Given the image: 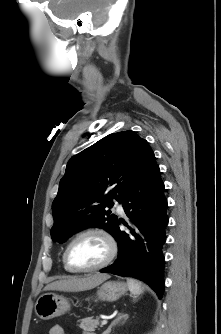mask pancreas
<instances>
[{"label":"pancreas","mask_w":221,"mask_h":334,"mask_svg":"<svg viewBox=\"0 0 221 334\" xmlns=\"http://www.w3.org/2000/svg\"><path fill=\"white\" fill-rule=\"evenodd\" d=\"M80 324L79 327L83 329L84 331L92 332L95 331V329L99 325V318L94 319L93 317H86L81 320H79ZM93 334V333H88Z\"/></svg>","instance_id":"obj_1"}]
</instances>
